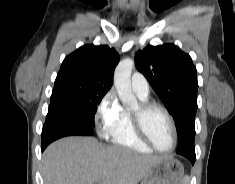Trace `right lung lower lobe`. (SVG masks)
Instances as JSON below:
<instances>
[{
    "instance_id": "right-lung-lower-lobe-1",
    "label": "right lung lower lobe",
    "mask_w": 235,
    "mask_h": 184,
    "mask_svg": "<svg viewBox=\"0 0 235 184\" xmlns=\"http://www.w3.org/2000/svg\"><path fill=\"white\" fill-rule=\"evenodd\" d=\"M93 128L64 108L49 106L42 130V151L53 141L70 135L92 136Z\"/></svg>"
}]
</instances>
